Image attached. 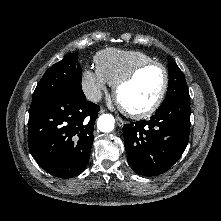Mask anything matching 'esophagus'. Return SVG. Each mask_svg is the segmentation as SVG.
<instances>
[{
    "label": "esophagus",
    "mask_w": 221,
    "mask_h": 221,
    "mask_svg": "<svg viewBox=\"0 0 221 221\" xmlns=\"http://www.w3.org/2000/svg\"><path fill=\"white\" fill-rule=\"evenodd\" d=\"M104 110H101L100 113H103ZM117 124L122 127L124 125V121L120 117H116Z\"/></svg>",
    "instance_id": "obj_1"
}]
</instances>
